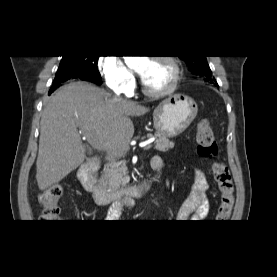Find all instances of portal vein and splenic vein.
I'll list each match as a JSON object with an SVG mask.
<instances>
[{"instance_id": "1", "label": "portal vein and splenic vein", "mask_w": 277, "mask_h": 277, "mask_svg": "<svg viewBox=\"0 0 277 277\" xmlns=\"http://www.w3.org/2000/svg\"><path fill=\"white\" fill-rule=\"evenodd\" d=\"M88 142L91 144V146L97 150H101V146L100 144L97 142V140L91 136V135H85ZM154 139H150L144 146L143 149L144 150H149L152 147V143H153Z\"/></svg>"}]
</instances>
